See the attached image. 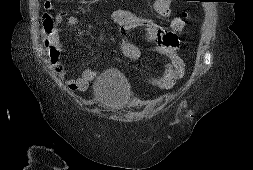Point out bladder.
<instances>
[{"mask_svg":"<svg viewBox=\"0 0 253 170\" xmlns=\"http://www.w3.org/2000/svg\"><path fill=\"white\" fill-rule=\"evenodd\" d=\"M132 94L128 80L118 70H105L94 81L93 96L96 103L109 112L125 109Z\"/></svg>","mask_w":253,"mask_h":170,"instance_id":"31cf9c89","label":"bladder"}]
</instances>
